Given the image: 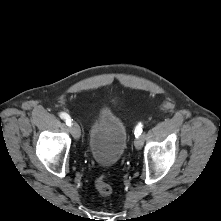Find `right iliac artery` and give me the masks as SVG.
<instances>
[{"instance_id": "obj_1", "label": "right iliac artery", "mask_w": 221, "mask_h": 221, "mask_svg": "<svg viewBox=\"0 0 221 221\" xmlns=\"http://www.w3.org/2000/svg\"><path fill=\"white\" fill-rule=\"evenodd\" d=\"M60 117L66 122L68 126H71V117L67 113L61 112Z\"/></svg>"}]
</instances>
